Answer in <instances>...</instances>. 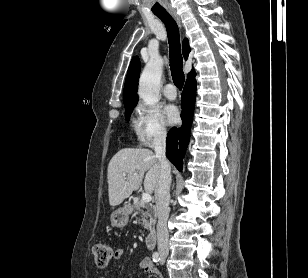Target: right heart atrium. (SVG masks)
<instances>
[{
    "label": "right heart atrium",
    "mask_w": 308,
    "mask_h": 278,
    "mask_svg": "<svg viewBox=\"0 0 308 278\" xmlns=\"http://www.w3.org/2000/svg\"><path fill=\"white\" fill-rule=\"evenodd\" d=\"M134 130L141 144L150 145L166 137L167 125L159 110L139 104L136 107Z\"/></svg>",
    "instance_id": "right-heart-atrium-1"
}]
</instances>
